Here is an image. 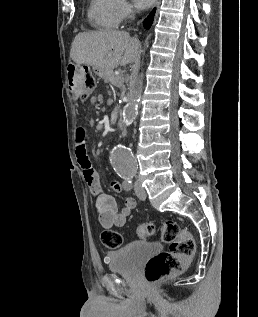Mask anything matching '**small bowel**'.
<instances>
[{"label":"small bowel","mask_w":258,"mask_h":317,"mask_svg":"<svg viewBox=\"0 0 258 317\" xmlns=\"http://www.w3.org/2000/svg\"><path fill=\"white\" fill-rule=\"evenodd\" d=\"M75 148L77 161L82 169L89 192L94 199L101 226L104 229L124 226L131 211L136 207L135 199L126 198L123 207L119 209L114 197L104 192L99 175L92 166L88 156L86 131L82 126H78L75 131ZM111 189L114 192H120L122 185L118 181H112Z\"/></svg>","instance_id":"1"}]
</instances>
